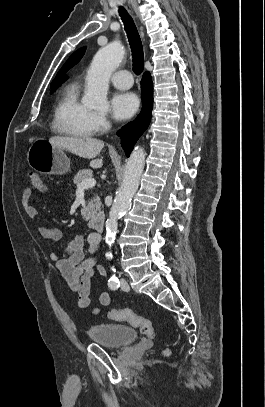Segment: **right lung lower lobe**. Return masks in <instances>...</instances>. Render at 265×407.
<instances>
[{"label":"right lung lower lobe","mask_w":265,"mask_h":407,"mask_svg":"<svg viewBox=\"0 0 265 407\" xmlns=\"http://www.w3.org/2000/svg\"><path fill=\"white\" fill-rule=\"evenodd\" d=\"M143 107L138 117L125 125L117 132V135L122 138V146L129 156L136 141L148 128L151 121V111L153 107V86L152 78L149 72L143 74L141 80Z\"/></svg>","instance_id":"right-lung-lower-lobe-1"}]
</instances>
